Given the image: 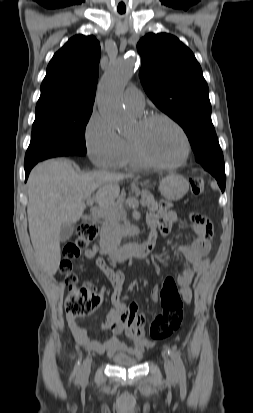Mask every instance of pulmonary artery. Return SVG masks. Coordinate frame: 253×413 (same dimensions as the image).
Wrapping results in <instances>:
<instances>
[{"label": "pulmonary artery", "instance_id": "obj_1", "mask_svg": "<svg viewBox=\"0 0 253 413\" xmlns=\"http://www.w3.org/2000/svg\"><path fill=\"white\" fill-rule=\"evenodd\" d=\"M126 107L135 114H140L144 109V96L135 87H129L124 93Z\"/></svg>", "mask_w": 253, "mask_h": 413}]
</instances>
